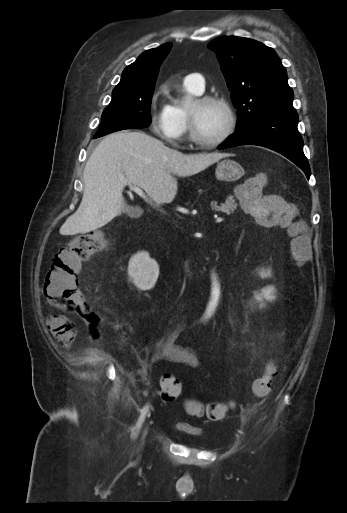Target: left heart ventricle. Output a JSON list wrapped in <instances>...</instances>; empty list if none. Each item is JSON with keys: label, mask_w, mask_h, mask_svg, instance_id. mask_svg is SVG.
Masks as SVG:
<instances>
[{"label": "left heart ventricle", "mask_w": 347, "mask_h": 513, "mask_svg": "<svg viewBox=\"0 0 347 513\" xmlns=\"http://www.w3.org/2000/svg\"><path fill=\"white\" fill-rule=\"evenodd\" d=\"M198 135L205 140L220 136L227 125V115L224 108L215 103H196L189 107Z\"/></svg>", "instance_id": "left-heart-ventricle-1"}]
</instances>
